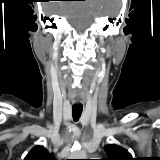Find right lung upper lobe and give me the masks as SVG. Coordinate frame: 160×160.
Returning a JSON list of instances; mask_svg holds the SVG:
<instances>
[{"instance_id":"obj_1","label":"right lung upper lobe","mask_w":160,"mask_h":160,"mask_svg":"<svg viewBox=\"0 0 160 160\" xmlns=\"http://www.w3.org/2000/svg\"><path fill=\"white\" fill-rule=\"evenodd\" d=\"M24 160H55L52 153H49L43 146H35L30 150Z\"/></svg>"}]
</instances>
